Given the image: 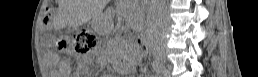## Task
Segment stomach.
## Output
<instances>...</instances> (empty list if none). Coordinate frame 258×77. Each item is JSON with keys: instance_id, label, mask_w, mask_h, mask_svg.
Segmentation results:
<instances>
[{"instance_id": "0dacf381", "label": "stomach", "mask_w": 258, "mask_h": 77, "mask_svg": "<svg viewBox=\"0 0 258 77\" xmlns=\"http://www.w3.org/2000/svg\"><path fill=\"white\" fill-rule=\"evenodd\" d=\"M94 25L99 28V25H100V20L97 19V18H94Z\"/></svg>"}]
</instances>
